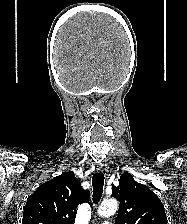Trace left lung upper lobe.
I'll use <instances>...</instances> for the list:
<instances>
[{"label":"left lung upper lobe","instance_id":"obj_1","mask_svg":"<svg viewBox=\"0 0 187 224\" xmlns=\"http://www.w3.org/2000/svg\"><path fill=\"white\" fill-rule=\"evenodd\" d=\"M112 196L120 202L115 224H167L164 206L147 186L136 182L125 172L119 186L112 187Z\"/></svg>","mask_w":187,"mask_h":224}]
</instances>
